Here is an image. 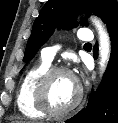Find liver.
<instances>
[{"instance_id":"liver-1","label":"liver","mask_w":118,"mask_h":123,"mask_svg":"<svg viewBox=\"0 0 118 123\" xmlns=\"http://www.w3.org/2000/svg\"><path fill=\"white\" fill-rule=\"evenodd\" d=\"M15 123H23L22 121H16Z\"/></svg>"}]
</instances>
